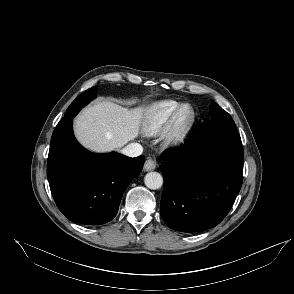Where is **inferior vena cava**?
<instances>
[{
	"label": "inferior vena cava",
	"instance_id": "obj_1",
	"mask_svg": "<svg viewBox=\"0 0 294 294\" xmlns=\"http://www.w3.org/2000/svg\"><path fill=\"white\" fill-rule=\"evenodd\" d=\"M143 152V147L138 143H130L121 150V153L128 157H137Z\"/></svg>",
	"mask_w": 294,
	"mask_h": 294
}]
</instances>
